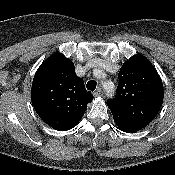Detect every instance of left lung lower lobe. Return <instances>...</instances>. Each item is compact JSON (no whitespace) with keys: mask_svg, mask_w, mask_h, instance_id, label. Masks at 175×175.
Returning a JSON list of instances; mask_svg holds the SVG:
<instances>
[{"mask_svg":"<svg viewBox=\"0 0 175 175\" xmlns=\"http://www.w3.org/2000/svg\"><path fill=\"white\" fill-rule=\"evenodd\" d=\"M114 121L120 130L127 132V133H135L146 126L144 124L130 122V121H124V120H120V119H116V118H114Z\"/></svg>","mask_w":175,"mask_h":175,"instance_id":"left-lung-lower-lobe-1","label":"left lung lower lobe"}]
</instances>
